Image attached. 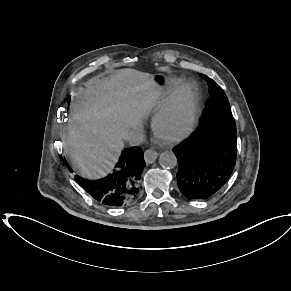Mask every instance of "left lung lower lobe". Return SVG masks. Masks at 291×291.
<instances>
[{
    "mask_svg": "<svg viewBox=\"0 0 291 291\" xmlns=\"http://www.w3.org/2000/svg\"><path fill=\"white\" fill-rule=\"evenodd\" d=\"M178 161L177 183L191 200H205L226 184L236 163V132L200 126L173 149Z\"/></svg>",
    "mask_w": 291,
    "mask_h": 291,
    "instance_id": "left-lung-lower-lobe-1",
    "label": "left lung lower lobe"
}]
</instances>
